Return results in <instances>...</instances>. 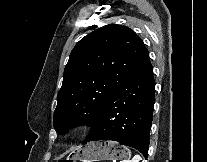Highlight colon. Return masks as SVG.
I'll return each instance as SVG.
<instances>
[{
    "mask_svg": "<svg viewBox=\"0 0 207 162\" xmlns=\"http://www.w3.org/2000/svg\"><path fill=\"white\" fill-rule=\"evenodd\" d=\"M59 162H75V161H73V160H61Z\"/></svg>",
    "mask_w": 207,
    "mask_h": 162,
    "instance_id": "colon-1",
    "label": "colon"
}]
</instances>
